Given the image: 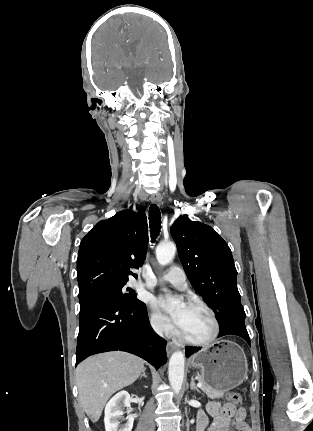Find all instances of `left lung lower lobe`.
<instances>
[{"label": "left lung lower lobe", "instance_id": "left-lung-lower-lobe-1", "mask_svg": "<svg viewBox=\"0 0 313 431\" xmlns=\"http://www.w3.org/2000/svg\"><path fill=\"white\" fill-rule=\"evenodd\" d=\"M225 335H236L243 338L250 345V338L245 327L244 321H234L225 327L220 328L219 337ZM200 350V347H186V357L191 356L193 353Z\"/></svg>", "mask_w": 313, "mask_h": 431}]
</instances>
